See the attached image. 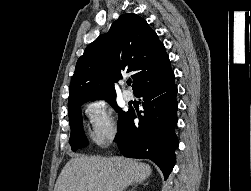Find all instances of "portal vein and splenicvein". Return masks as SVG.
Listing matches in <instances>:
<instances>
[{"label": "portal vein and splenic vein", "instance_id": "18ae733b", "mask_svg": "<svg viewBox=\"0 0 251 191\" xmlns=\"http://www.w3.org/2000/svg\"><path fill=\"white\" fill-rule=\"evenodd\" d=\"M95 189H96V191H103V189H101L100 185H95Z\"/></svg>", "mask_w": 251, "mask_h": 191}]
</instances>
